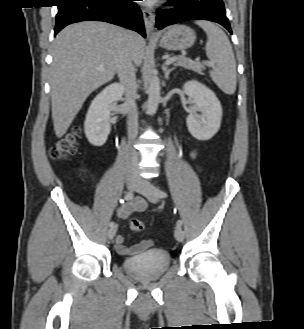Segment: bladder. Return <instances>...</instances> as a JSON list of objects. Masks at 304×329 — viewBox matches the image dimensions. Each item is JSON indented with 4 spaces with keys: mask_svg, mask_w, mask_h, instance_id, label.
<instances>
[{
    "mask_svg": "<svg viewBox=\"0 0 304 329\" xmlns=\"http://www.w3.org/2000/svg\"><path fill=\"white\" fill-rule=\"evenodd\" d=\"M171 262L169 253L163 250H147L139 256L131 257L122 262L129 275L137 279H156L168 269Z\"/></svg>",
    "mask_w": 304,
    "mask_h": 329,
    "instance_id": "1",
    "label": "bladder"
}]
</instances>
